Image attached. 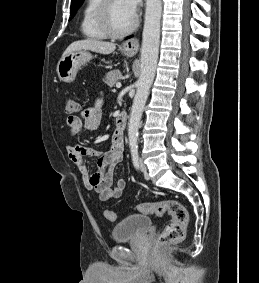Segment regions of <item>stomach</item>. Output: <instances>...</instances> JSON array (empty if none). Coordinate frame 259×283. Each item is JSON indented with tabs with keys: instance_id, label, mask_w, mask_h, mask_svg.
<instances>
[{
	"instance_id": "obj_1",
	"label": "stomach",
	"mask_w": 259,
	"mask_h": 283,
	"mask_svg": "<svg viewBox=\"0 0 259 283\" xmlns=\"http://www.w3.org/2000/svg\"><path fill=\"white\" fill-rule=\"evenodd\" d=\"M131 56V52L124 51ZM93 58L88 50H76L61 58L57 65V74L61 81L70 83L75 80L78 70Z\"/></svg>"
}]
</instances>
